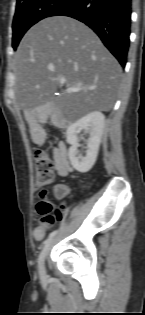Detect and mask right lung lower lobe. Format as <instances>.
<instances>
[{
    "mask_svg": "<svg viewBox=\"0 0 145 315\" xmlns=\"http://www.w3.org/2000/svg\"><path fill=\"white\" fill-rule=\"evenodd\" d=\"M69 16L91 27L122 67L127 62L131 0H69L51 16Z\"/></svg>",
    "mask_w": 145,
    "mask_h": 315,
    "instance_id": "1",
    "label": "right lung lower lobe"
}]
</instances>
